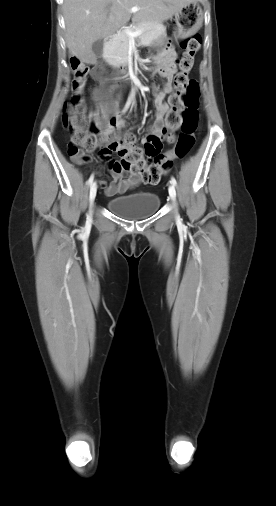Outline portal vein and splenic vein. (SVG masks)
<instances>
[{
    "mask_svg": "<svg viewBox=\"0 0 276 506\" xmlns=\"http://www.w3.org/2000/svg\"><path fill=\"white\" fill-rule=\"evenodd\" d=\"M139 10H140V8H139V7H136V6H134V7H132V8L130 9V11H131L132 13H135V12H137V11H139ZM126 33L128 34V36H131V37H136V36H139V35H141V34H142V30L131 31L130 29H126Z\"/></svg>",
    "mask_w": 276,
    "mask_h": 506,
    "instance_id": "obj_1",
    "label": "portal vein and splenic vein"
}]
</instances>
